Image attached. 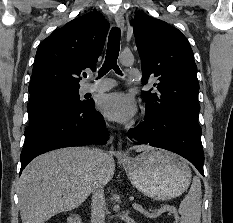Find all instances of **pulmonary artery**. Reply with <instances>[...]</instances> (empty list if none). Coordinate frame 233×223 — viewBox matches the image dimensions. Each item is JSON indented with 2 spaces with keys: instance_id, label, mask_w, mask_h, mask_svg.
<instances>
[{
  "instance_id": "pulmonary-artery-1",
  "label": "pulmonary artery",
  "mask_w": 233,
  "mask_h": 223,
  "mask_svg": "<svg viewBox=\"0 0 233 223\" xmlns=\"http://www.w3.org/2000/svg\"><path fill=\"white\" fill-rule=\"evenodd\" d=\"M128 74L131 75L132 80L140 79V75L142 74L141 70H129ZM114 85L113 79H102L99 83L89 84L87 86L88 92H105L111 89Z\"/></svg>"
}]
</instances>
